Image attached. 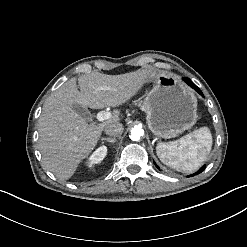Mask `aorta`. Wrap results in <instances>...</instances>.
<instances>
[{
	"label": "aorta",
	"instance_id": "obj_1",
	"mask_svg": "<svg viewBox=\"0 0 247 247\" xmlns=\"http://www.w3.org/2000/svg\"><path fill=\"white\" fill-rule=\"evenodd\" d=\"M144 136V130L139 126H134L130 131V138L133 141H139Z\"/></svg>",
	"mask_w": 247,
	"mask_h": 247
}]
</instances>
